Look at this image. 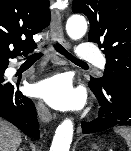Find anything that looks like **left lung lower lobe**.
Instances as JSON below:
<instances>
[{"instance_id": "left-lung-lower-lobe-1", "label": "left lung lower lobe", "mask_w": 131, "mask_h": 151, "mask_svg": "<svg viewBox=\"0 0 131 151\" xmlns=\"http://www.w3.org/2000/svg\"><path fill=\"white\" fill-rule=\"evenodd\" d=\"M97 97L100 110L97 119L82 123L84 134L105 131L114 126H131V91L117 87L88 84Z\"/></svg>"}]
</instances>
